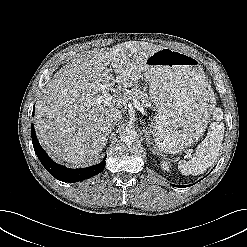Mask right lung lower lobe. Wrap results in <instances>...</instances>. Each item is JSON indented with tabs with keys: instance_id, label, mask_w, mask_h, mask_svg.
I'll list each match as a JSON object with an SVG mask.
<instances>
[{
	"instance_id": "98d812e1",
	"label": "right lung lower lobe",
	"mask_w": 247,
	"mask_h": 247,
	"mask_svg": "<svg viewBox=\"0 0 247 247\" xmlns=\"http://www.w3.org/2000/svg\"><path fill=\"white\" fill-rule=\"evenodd\" d=\"M32 115H34V111ZM31 136L35 153L37 154L40 162L53 177L60 181L70 183L79 182L99 174L105 168L106 157H104L101 163L83 169H68L64 166L58 165L51 160V158L40 146L33 125H31Z\"/></svg>"
}]
</instances>
